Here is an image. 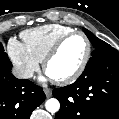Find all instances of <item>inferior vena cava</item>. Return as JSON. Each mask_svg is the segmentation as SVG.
Listing matches in <instances>:
<instances>
[{"instance_id":"obj_1","label":"inferior vena cava","mask_w":119,"mask_h":119,"mask_svg":"<svg viewBox=\"0 0 119 119\" xmlns=\"http://www.w3.org/2000/svg\"><path fill=\"white\" fill-rule=\"evenodd\" d=\"M12 73L18 79H28L33 76V71L22 68H13Z\"/></svg>"}]
</instances>
